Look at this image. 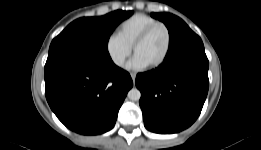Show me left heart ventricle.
Segmentation results:
<instances>
[{
  "mask_svg": "<svg viewBox=\"0 0 261 150\" xmlns=\"http://www.w3.org/2000/svg\"><path fill=\"white\" fill-rule=\"evenodd\" d=\"M166 46V32L162 27H158L137 48L135 55L139 56L148 66H150L163 56Z\"/></svg>",
  "mask_w": 261,
  "mask_h": 150,
  "instance_id": "left-heart-ventricle-1",
  "label": "left heart ventricle"
}]
</instances>
